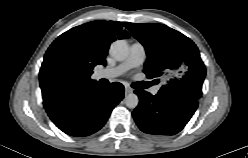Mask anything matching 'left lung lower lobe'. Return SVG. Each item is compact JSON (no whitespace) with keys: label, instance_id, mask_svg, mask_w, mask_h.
Wrapping results in <instances>:
<instances>
[{"label":"left lung lower lobe","instance_id":"left-lung-lower-lobe-1","mask_svg":"<svg viewBox=\"0 0 248 158\" xmlns=\"http://www.w3.org/2000/svg\"><path fill=\"white\" fill-rule=\"evenodd\" d=\"M140 99L132 115L138 127L152 135H174L181 131L197 109L198 101L183 96H155L135 91Z\"/></svg>","mask_w":248,"mask_h":158}]
</instances>
